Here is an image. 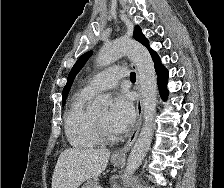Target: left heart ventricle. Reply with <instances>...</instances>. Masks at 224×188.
Listing matches in <instances>:
<instances>
[{"instance_id": "b2bd125f", "label": "left heart ventricle", "mask_w": 224, "mask_h": 188, "mask_svg": "<svg viewBox=\"0 0 224 188\" xmlns=\"http://www.w3.org/2000/svg\"><path fill=\"white\" fill-rule=\"evenodd\" d=\"M98 120L105 126V128L110 132V133H115V131L111 128L109 124V112L107 110H104L102 112H99L95 114Z\"/></svg>"}]
</instances>
